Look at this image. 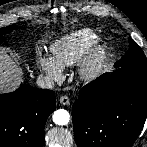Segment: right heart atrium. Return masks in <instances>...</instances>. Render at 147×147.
I'll use <instances>...</instances> for the list:
<instances>
[{
    "label": "right heart atrium",
    "instance_id": "obj_1",
    "mask_svg": "<svg viewBox=\"0 0 147 147\" xmlns=\"http://www.w3.org/2000/svg\"><path fill=\"white\" fill-rule=\"evenodd\" d=\"M39 68L52 80H60L63 77V67L52 57L39 56L37 59Z\"/></svg>",
    "mask_w": 147,
    "mask_h": 147
}]
</instances>
